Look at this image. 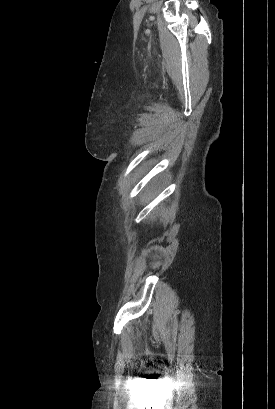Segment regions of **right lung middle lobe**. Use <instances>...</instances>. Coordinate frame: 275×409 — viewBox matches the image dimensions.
<instances>
[{"instance_id":"right-lung-middle-lobe-1","label":"right lung middle lobe","mask_w":275,"mask_h":409,"mask_svg":"<svg viewBox=\"0 0 275 409\" xmlns=\"http://www.w3.org/2000/svg\"><path fill=\"white\" fill-rule=\"evenodd\" d=\"M161 175H162V174H161ZM164 175H166V174H164ZM146 176H147V177H154V176L159 177V176H160V173H159V172H156V173H154V172H147V173H146Z\"/></svg>"}]
</instances>
